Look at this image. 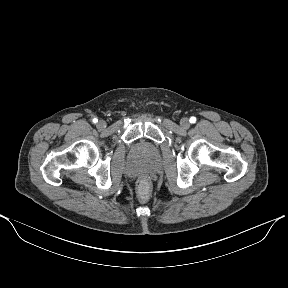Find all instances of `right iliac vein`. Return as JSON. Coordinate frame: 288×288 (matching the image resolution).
<instances>
[{
	"instance_id": "obj_1",
	"label": "right iliac vein",
	"mask_w": 288,
	"mask_h": 288,
	"mask_svg": "<svg viewBox=\"0 0 288 288\" xmlns=\"http://www.w3.org/2000/svg\"><path fill=\"white\" fill-rule=\"evenodd\" d=\"M96 126L99 130H103L106 127V122L104 120H99Z\"/></svg>"
}]
</instances>
